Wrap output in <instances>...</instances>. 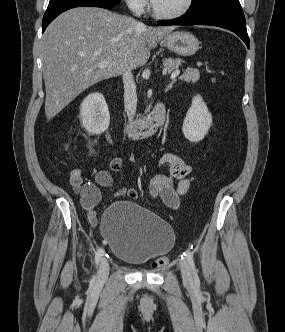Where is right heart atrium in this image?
<instances>
[{
  "label": "right heart atrium",
  "instance_id": "1",
  "mask_svg": "<svg viewBox=\"0 0 285 332\" xmlns=\"http://www.w3.org/2000/svg\"><path fill=\"white\" fill-rule=\"evenodd\" d=\"M129 9L135 13L143 12L147 7V0H125Z\"/></svg>",
  "mask_w": 285,
  "mask_h": 332
}]
</instances>
